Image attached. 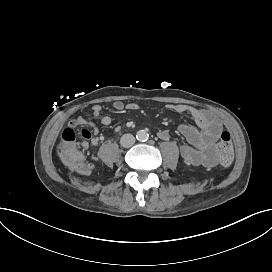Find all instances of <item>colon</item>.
<instances>
[{
	"label": "colon",
	"mask_w": 272,
	"mask_h": 272,
	"mask_svg": "<svg viewBox=\"0 0 272 272\" xmlns=\"http://www.w3.org/2000/svg\"><path fill=\"white\" fill-rule=\"evenodd\" d=\"M58 158L72 170L84 173L86 170L85 158L80 154V150L76 147V133L72 129H63L59 133ZM211 155L218 157L220 163L224 165L231 164L234 158V148L230 133L222 132L219 143Z\"/></svg>",
	"instance_id": "colon-1"
}]
</instances>
